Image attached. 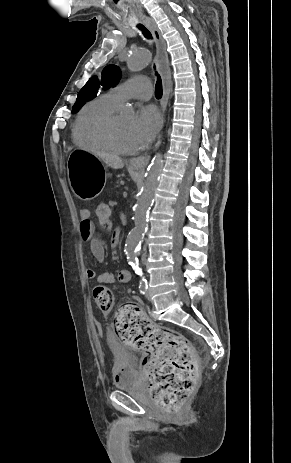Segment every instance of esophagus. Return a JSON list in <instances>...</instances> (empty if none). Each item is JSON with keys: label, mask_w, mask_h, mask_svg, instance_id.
Wrapping results in <instances>:
<instances>
[{"label": "esophagus", "mask_w": 291, "mask_h": 463, "mask_svg": "<svg viewBox=\"0 0 291 463\" xmlns=\"http://www.w3.org/2000/svg\"><path fill=\"white\" fill-rule=\"evenodd\" d=\"M143 22L147 26V28L151 31L155 39V43H156L155 61H156L157 69L159 73L161 74L162 81H163V97L161 100V111H162L161 127H163L164 114H165L166 105H167V101H168V97H169V93L171 89V74H170V68H169V62H168V55L166 51V43L164 39L162 38L160 30L158 29V26L154 22L153 19L149 17H145L143 19ZM159 144H160V139L157 141L156 146H158ZM150 158H151L150 155H147V154L141 155L139 157L132 158L130 160V164L133 166L144 168L148 165Z\"/></svg>", "instance_id": "34e87169"}]
</instances>
